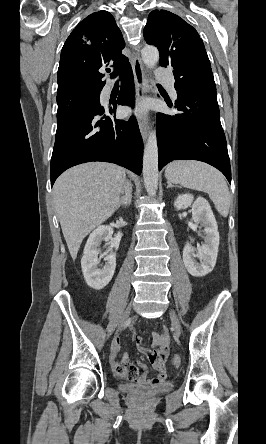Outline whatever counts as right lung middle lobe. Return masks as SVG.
<instances>
[{
    "instance_id": "dd1d6c3e",
    "label": "right lung middle lobe",
    "mask_w": 266,
    "mask_h": 444,
    "mask_svg": "<svg viewBox=\"0 0 266 444\" xmlns=\"http://www.w3.org/2000/svg\"><path fill=\"white\" fill-rule=\"evenodd\" d=\"M100 91L81 92L57 97V126L79 114H89L98 109Z\"/></svg>"
}]
</instances>
